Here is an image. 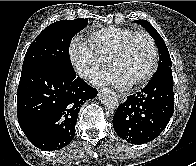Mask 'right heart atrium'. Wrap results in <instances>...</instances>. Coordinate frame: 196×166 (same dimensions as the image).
I'll return each mask as SVG.
<instances>
[{"instance_id":"right-heart-atrium-1","label":"right heart atrium","mask_w":196,"mask_h":166,"mask_svg":"<svg viewBox=\"0 0 196 166\" xmlns=\"http://www.w3.org/2000/svg\"><path fill=\"white\" fill-rule=\"evenodd\" d=\"M69 57L76 72L83 78H89L109 65V60L88 39L80 36L73 38Z\"/></svg>"}]
</instances>
